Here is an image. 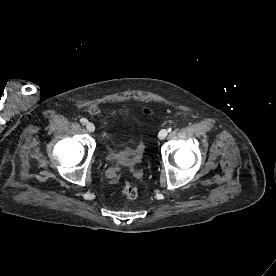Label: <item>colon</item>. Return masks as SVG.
<instances>
[{
	"mask_svg": "<svg viewBox=\"0 0 276 276\" xmlns=\"http://www.w3.org/2000/svg\"><path fill=\"white\" fill-rule=\"evenodd\" d=\"M145 112L146 114H149V115L153 114V112L150 110H146ZM121 191H122V194L128 199H135L139 194L138 188L134 184L129 182H126L123 184Z\"/></svg>",
	"mask_w": 276,
	"mask_h": 276,
	"instance_id": "5ec220e1",
	"label": "colon"
}]
</instances>
